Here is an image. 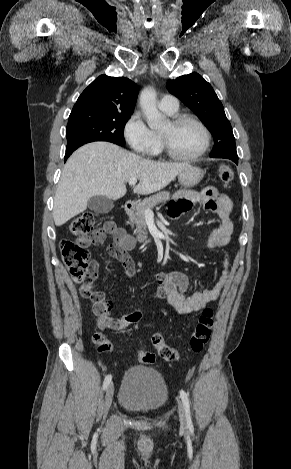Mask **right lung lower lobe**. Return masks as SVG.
<instances>
[{"mask_svg": "<svg viewBox=\"0 0 291 469\" xmlns=\"http://www.w3.org/2000/svg\"><path fill=\"white\" fill-rule=\"evenodd\" d=\"M86 143H89V142H75V143L67 144L66 153H65V161L73 153V151H75L77 148H79L80 146Z\"/></svg>", "mask_w": 291, "mask_h": 469, "instance_id": "obj_1", "label": "right lung lower lobe"}]
</instances>
